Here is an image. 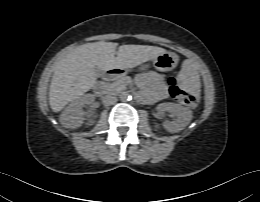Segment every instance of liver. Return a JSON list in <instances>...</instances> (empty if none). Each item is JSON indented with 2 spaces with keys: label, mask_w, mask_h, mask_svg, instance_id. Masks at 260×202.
Returning <instances> with one entry per match:
<instances>
[{
  "label": "liver",
  "mask_w": 260,
  "mask_h": 202,
  "mask_svg": "<svg viewBox=\"0 0 260 202\" xmlns=\"http://www.w3.org/2000/svg\"><path fill=\"white\" fill-rule=\"evenodd\" d=\"M114 42L83 44L61 59L55 67L49 90V104L54 112L61 111L96 84L95 68H134L166 50L148 45H121ZM115 54L117 56L115 57Z\"/></svg>",
  "instance_id": "obj_1"
}]
</instances>
